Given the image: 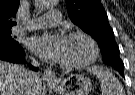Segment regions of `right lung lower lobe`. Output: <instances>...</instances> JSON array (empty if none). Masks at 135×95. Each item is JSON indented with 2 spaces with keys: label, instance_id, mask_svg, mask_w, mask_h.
<instances>
[{
  "label": "right lung lower lobe",
  "instance_id": "obj_1",
  "mask_svg": "<svg viewBox=\"0 0 135 95\" xmlns=\"http://www.w3.org/2000/svg\"><path fill=\"white\" fill-rule=\"evenodd\" d=\"M24 50L17 44L10 48H0V60L9 61L13 63H23L24 62ZM29 68L37 71V68L29 65Z\"/></svg>",
  "mask_w": 135,
  "mask_h": 95
}]
</instances>
